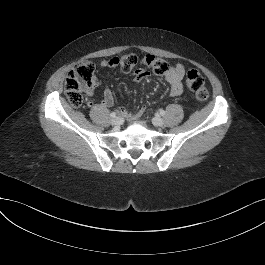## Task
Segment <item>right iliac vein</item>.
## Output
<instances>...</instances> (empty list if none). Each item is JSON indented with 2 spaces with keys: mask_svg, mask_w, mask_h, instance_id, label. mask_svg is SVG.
<instances>
[{
  "mask_svg": "<svg viewBox=\"0 0 265 265\" xmlns=\"http://www.w3.org/2000/svg\"><path fill=\"white\" fill-rule=\"evenodd\" d=\"M111 124L113 125V126H119L120 125V119L118 118V117H116V118H114V119H112L111 120Z\"/></svg>",
  "mask_w": 265,
  "mask_h": 265,
  "instance_id": "1",
  "label": "right iliac vein"
}]
</instances>
